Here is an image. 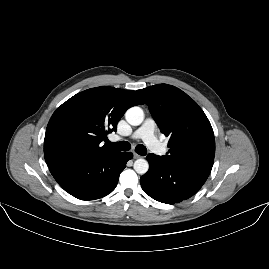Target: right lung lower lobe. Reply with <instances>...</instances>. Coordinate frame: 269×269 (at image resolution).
<instances>
[{
	"mask_svg": "<svg viewBox=\"0 0 269 269\" xmlns=\"http://www.w3.org/2000/svg\"><path fill=\"white\" fill-rule=\"evenodd\" d=\"M132 153L110 151L92 158L57 161L48 165L58 184L74 197L95 200L111 193Z\"/></svg>",
	"mask_w": 269,
	"mask_h": 269,
	"instance_id": "1",
	"label": "right lung lower lobe"
}]
</instances>
